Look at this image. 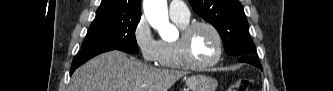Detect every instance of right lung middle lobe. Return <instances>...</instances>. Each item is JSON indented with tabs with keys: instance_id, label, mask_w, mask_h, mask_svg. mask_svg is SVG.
Segmentation results:
<instances>
[{
	"instance_id": "1",
	"label": "right lung middle lobe",
	"mask_w": 333,
	"mask_h": 91,
	"mask_svg": "<svg viewBox=\"0 0 333 91\" xmlns=\"http://www.w3.org/2000/svg\"><path fill=\"white\" fill-rule=\"evenodd\" d=\"M141 15L97 17L89 28L81 52L98 50L139 51L135 30Z\"/></svg>"
}]
</instances>
